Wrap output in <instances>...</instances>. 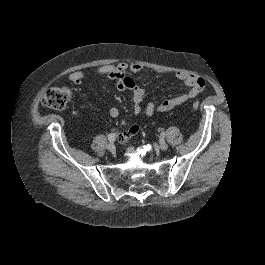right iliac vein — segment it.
Segmentation results:
<instances>
[{
	"label": "right iliac vein",
	"instance_id": "right-iliac-vein-1",
	"mask_svg": "<svg viewBox=\"0 0 265 265\" xmlns=\"http://www.w3.org/2000/svg\"><path fill=\"white\" fill-rule=\"evenodd\" d=\"M107 150L113 153V152L116 151V147H115V145L113 143H109L107 145Z\"/></svg>",
	"mask_w": 265,
	"mask_h": 265
}]
</instances>
